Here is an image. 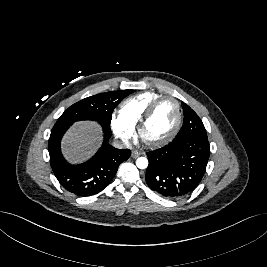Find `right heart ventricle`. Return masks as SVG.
Wrapping results in <instances>:
<instances>
[{"mask_svg": "<svg viewBox=\"0 0 267 267\" xmlns=\"http://www.w3.org/2000/svg\"><path fill=\"white\" fill-rule=\"evenodd\" d=\"M160 96L161 94L151 91L132 96L121 104L119 113L134 128L151 102Z\"/></svg>", "mask_w": 267, "mask_h": 267, "instance_id": "obj_1", "label": "right heart ventricle"}]
</instances>
